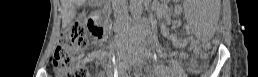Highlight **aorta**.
Masks as SVG:
<instances>
[{"label":"aorta","mask_w":258,"mask_h":77,"mask_svg":"<svg viewBox=\"0 0 258 77\" xmlns=\"http://www.w3.org/2000/svg\"><path fill=\"white\" fill-rule=\"evenodd\" d=\"M130 12L134 18L139 19L142 15V1L130 0Z\"/></svg>","instance_id":"obj_1"}]
</instances>
